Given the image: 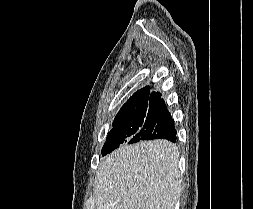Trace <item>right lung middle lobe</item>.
<instances>
[{"instance_id":"right-lung-middle-lobe-1","label":"right lung middle lobe","mask_w":253,"mask_h":209,"mask_svg":"<svg viewBox=\"0 0 253 209\" xmlns=\"http://www.w3.org/2000/svg\"><path fill=\"white\" fill-rule=\"evenodd\" d=\"M157 119L156 109H143L128 116L115 118L102 148V156L112 152L122 143L131 144L142 140L141 136L155 126Z\"/></svg>"}]
</instances>
